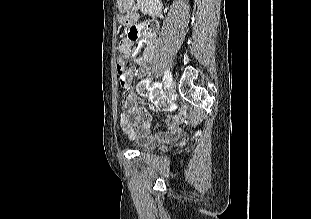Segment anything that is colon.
<instances>
[{
  "mask_svg": "<svg viewBox=\"0 0 311 219\" xmlns=\"http://www.w3.org/2000/svg\"><path fill=\"white\" fill-rule=\"evenodd\" d=\"M129 39H132L129 37ZM133 62L128 55H121L117 58V72L119 76V85L122 89H125L127 85L126 74L131 71ZM148 92V86L145 84L141 85L140 93L146 95Z\"/></svg>",
  "mask_w": 311,
  "mask_h": 219,
  "instance_id": "colon-1",
  "label": "colon"
}]
</instances>
